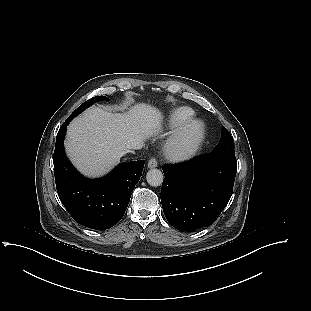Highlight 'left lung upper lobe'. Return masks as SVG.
<instances>
[{
    "label": "left lung upper lobe",
    "mask_w": 311,
    "mask_h": 311,
    "mask_svg": "<svg viewBox=\"0 0 311 311\" xmlns=\"http://www.w3.org/2000/svg\"><path fill=\"white\" fill-rule=\"evenodd\" d=\"M211 153L235 156L233 138L225 127L222 130L220 142Z\"/></svg>",
    "instance_id": "left-lung-upper-lobe-1"
}]
</instances>
